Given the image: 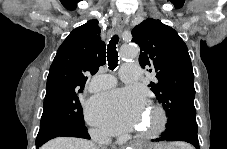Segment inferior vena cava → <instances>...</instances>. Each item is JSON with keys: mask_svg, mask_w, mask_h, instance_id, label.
I'll list each match as a JSON object with an SVG mask.
<instances>
[{"mask_svg": "<svg viewBox=\"0 0 227 149\" xmlns=\"http://www.w3.org/2000/svg\"><path fill=\"white\" fill-rule=\"evenodd\" d=\"M91 135L94 140L101 143H108L110 141V139L106 135L97 131H92Z\"/></svg>", "mask_w": 227, "mask_h": 149, "instance_id": "1", "label": "inferior vena cava"}]
</instances>
